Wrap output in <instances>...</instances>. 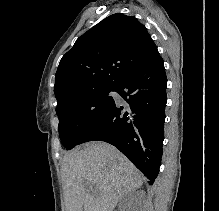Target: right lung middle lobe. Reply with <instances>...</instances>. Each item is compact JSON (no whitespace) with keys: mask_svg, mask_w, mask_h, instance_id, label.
<instances>
[{"mask_svg":"<svg viewBox=\"0 0 219 211\" xmlns=\"http://www.w3.org/2000/svg\"><path fill=\"white\" fill-rule=\"evenodd\" d=\"M114 90V87L96 89L57 105L59 136L65 148L79 145L83 134L109 112L115 102L109 93Z\"/></svg>","mask_w":219,"mask_h":211,"instance_id":"1","label":"right lung middle lobe"}]
</instances>
